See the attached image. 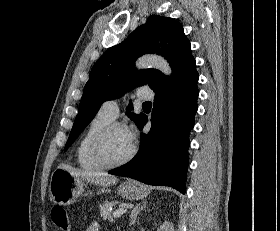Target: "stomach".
Instances as JSON below:
<instances>
[{"instance_id": "0dacf381", "label": "stomach", "mask_w": 280, "mask_h": 231, "mask_svg": "<svg viewBox=\"0 0 280 231\" xmlns=\"http://www.w3.org/2000/svg\"><path fill=\"white\" fill-rule=\"evenodd\" d=\"M86 185V179L74 177L67 169L57 167L51 175L49 193L55 203L68 205V203L75 201L76 197L82 195ZM118 191L125 199H143L149 193L147 189H143L142 185H137L136 181H132V179L123 181L119 185Z\"/></svg>"}]
</instances>
